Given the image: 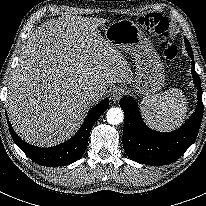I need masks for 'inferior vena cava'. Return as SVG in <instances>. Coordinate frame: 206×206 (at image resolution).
Listing matches in <instances>:
<instances>
[{"label": "inferior vena cava", "mask_w": 206, "mask_h": 206, "mask_svg": "<svg viewBox=\"0 0 206 206\" xmlns=\"http://www.w3.org/2000/svg\"><path fill=\"white\" fill-rule=\"evenodd\" d=\"M103 98V94L99 93V92H93L92 94H90L89 99L92 102H98L99 100H101Z\"/></svg>", "instance_id": "obj_1"}]
</instances>
